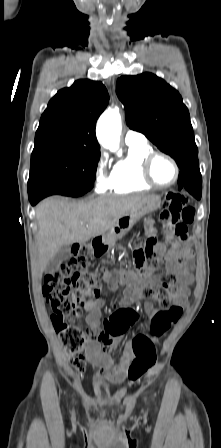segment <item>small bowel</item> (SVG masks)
I'll list each match as a JSON object with an SVG mask.
<instances>
[{
	"label": "small bowel",
	"mask_w": 221,
	"mask_h": 448,
	"mask_svg": "<svg viewBox=\"0 0 221 448\" xmlns=\"http://www.w3.org/2000/svg\"><path fill=\"white\" fill-rule=\"evenodd\" d=\"M146 230L149 234L155 233L152 222L148 221L146 223ZM155 251L167 260L168 269L179 275L180 290L173 296L174 303L181 306L186 305L188 286L192 282V275L190 273L191 251L188 237L185 240L176 239L169 252H166L164 242H157L155 244ZM136 263L137 269L142 277L128 278L120 272L105 274V280L109 285L110 291H115L119 285H125L120 300L121 308L113 312L106 320V324L109 327L105 331L101 329V307L104 304V300L100 298V291L94 299H89L84 304L85 320L92 335L85 349L86 358L100 373L104 374L113 382H121L126 377L128 369L135 359L134 342L136 338L152 342H156L157 340L147 335L139 334L132 343H128L125 346L123 354L118 361H115L108 353L116 348L124 333L131 325V317L128 311L137 299L138 288L141 285L156 286L160 281L159 277L151 270L146 269L144 265L138 262ZM145 311L153 318L160 312L152 303L145 305Z\"/></svg>",
	"instance_id": "c3829d8e"
}]
</instances>
